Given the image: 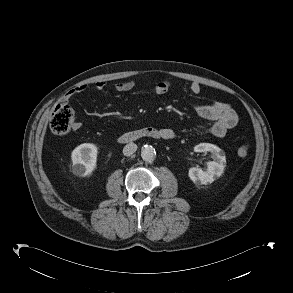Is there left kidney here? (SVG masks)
Returning <instances> with one entry per match:
<instances>
[{
  "label": "left kidney",
  "mask_w": 293,
  "mask_h": 293,
  "mask_svg": "<svg viewBox=\"0 0 293 293\" xmlns=\"http://www.w3.org/2000/svg\"><path fill=\"white\" fill-rule=\"evenodd\" d=\"M195 152H210L213 161L207 163V170L192 167L189 169L188 176L194 183L208 184L220 177L226 165L224 152L216 145L210 143H200L194 147Z\"/></svg>",
  "instance_id": "1"
}]
</instances>
